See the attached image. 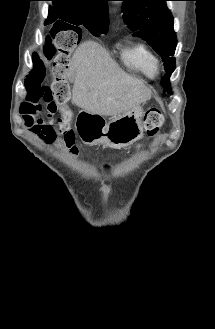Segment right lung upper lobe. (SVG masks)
Returning <instances> with one entry per match:
<instances>
[{
  "mask_svg": "<svg viewBox=\"0 0 215 329\" xmlns=\"http://www.w3.org/2000/svg\"><path fill=\"white\" fill-rule=\"evenodd\" d=\"M53 6L50 7L49 12L52 14L48 16L47 22H58L64 20L66 22L70 16H79L86 22H92L100 25L108 30V5L109 0H51ZM67 24L65 22H62Z\"/></svg>",
  "mask_w": 215,
  "mask_h": 329,
  "instance_id": "cb5924a9",
  "label": "right lung upper lobe"
}]
</instances>
